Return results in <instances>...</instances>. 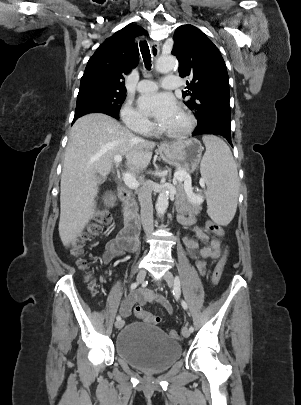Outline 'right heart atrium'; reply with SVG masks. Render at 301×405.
Returning <instances> with one entry per match:
<instances>
[{
    "instance_id": "d8ad5b80",
    "label": "right heart atrium",
    "mask_w": 301,
    "mask_h": 405,
    "mask_svg": "<svg viewBox=\"0 0 301 405\" xmlns=\"http://www.w3.org/2000/svg\"><path fill=\"white\" fill-rule=\"evenodd\" d=\"M121 119L128 129L136 133L147 134L152 129L151 121L129 104L122 108Z\"/></svg>"
}]
</instances>
